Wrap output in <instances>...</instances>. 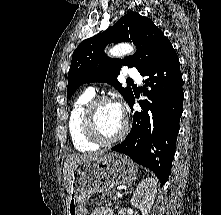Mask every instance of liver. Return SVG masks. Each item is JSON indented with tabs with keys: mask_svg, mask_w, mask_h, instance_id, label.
I'll list each match as a JSON object with an SVG mask.
<instances>
[{
	"mask_svg": "<svg viewBox=\"0 0 221 215\" xmlns=\"http://www.w3.org/2000/svg\"><path fill=\"white\" fill-rule=\"evenodd\" d=\"M103 152L99 153H92V154H71L67 156L65 162H64V169H63V176H64V184L66 189L68 188V183L70 180V177L73 173L74 168L81 162L90 160V159H96L101 156H103Z\"/></svg>",
	"mask_w": 221,
	"mask_h": 215,
	"instance_id": "liver-1",
	"label": "liver"
}]
</instances>
